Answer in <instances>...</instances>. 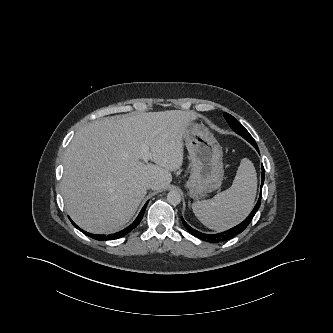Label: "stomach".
Segmentation results:
<instances>
[{"instance_id": "stomach-1", "label": "stomach", "mask_w": 333, "mask_h": 333, "mask_svg": "<svg viewBox=\"0 0 333 333\" xmlns=\"http://www.w3.org/2000/svg\"><path fill=\"white\" fill-rule=\"evenodd\" d=\"M184 139L192 164L186 188L190 197L198 200L222 184V147L203 124L190 123Z\"/></svg>"}]
</instances>
